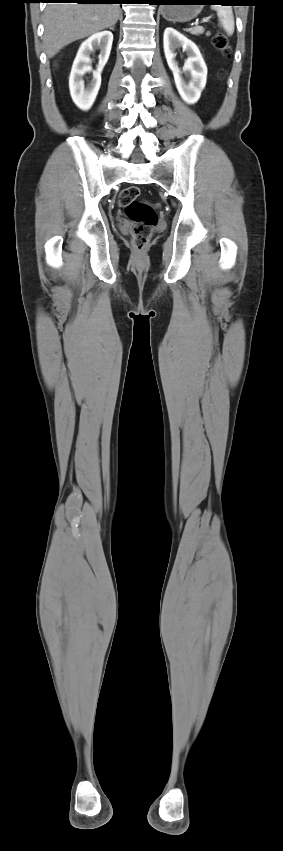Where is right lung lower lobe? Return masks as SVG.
Masks as SVG:
<instances>
[{"label":"right lung lower lobe","instance_id":"right-lung-lower-lobe-1","mask_svg":"<svg viewBox=\"0 0 283 851\" xmlns=\"http://www.w3.org/2000/svg\"><path fill=\"white\" fill-rule=\"evenodd\" d=\"M128 0H44L43 2L47 3H56V2H71V3H84V4H122L126 3Z\"/></svg>","mask_w":283,"mask_h":851}]
</instances>
